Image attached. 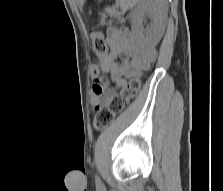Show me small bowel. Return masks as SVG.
<instances>
[{
	"label": "small bowel",
	"instance_id": "small-bowel-1",
	"mask_svg": "<svg viewBox=\"0 0 223 191\" xmlns=\"http://www.w3.org/2000/svg\"><path fill=\"white\" fill-rule=\"evenodd\" d=\"M106 41L108 51L104 56L105 60H98V62L103 63L101 73L107 74L118 89L126 87L128 80L138 75L141 70L149 69L156 58L154 49L141 48L136 43L132 33L127 30L110 27L106 33ZM120 55H125L121 63L117 61ZM108 85V79L103 76L94 78L91 96L92 106L103 105L117 93L116 90L108 88Z\"/></svg>",
	"mask_w": 223,
	"mask_h": 191
}]
</instances>
